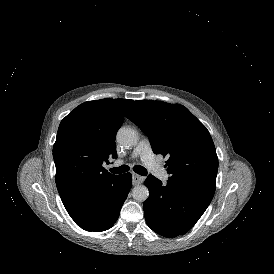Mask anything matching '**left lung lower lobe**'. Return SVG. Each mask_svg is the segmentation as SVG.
Segmentation results:
<instances>
[{"mask_svg": "<svg viewBox=\"0 0 274 274\" xmlns=\"http://www.w3.org/2000/svg\"><path fill=\"white\" fill-rule=\"evenodd\" d=\"M150 191L144 202L148 226L166 237H176L189 231L210 204L214 192L168 180L163 185L150 175L145 180Z\"/></svg>", "mask_w": 274, "mask_h": 274, "instance_id": "left-lung-lower-lobe-1", "label": "left lung lower lobe"}]
</instances>
